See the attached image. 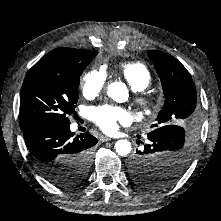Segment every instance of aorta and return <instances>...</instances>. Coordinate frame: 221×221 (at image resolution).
I'll use <instances>...</instances> for the list:
<instances>
[{
	"label": "aorta",
	"instance_id": "obj_1",
	"mask_svg": "<svg viewBox=\"0 0 221 221\" xmlns=\"http://www.w3.org/2000/svg\"><path fill=\"white\" fill-rule=\"evenodd\" d=\"M107 94L112 99L121 102L127 98V91L123 83L113 82L108 86ZM115 151L120 156H127L131 152V143L126 139L118 140L115 143Z\"/></svg>",
	"mask_w": 221,
	"mask_h": 221
}]
</instances>
